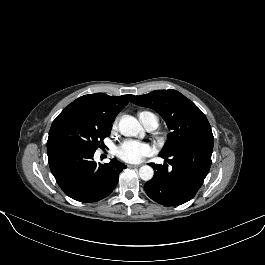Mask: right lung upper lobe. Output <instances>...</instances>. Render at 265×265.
Wrapping results in <instances>:
<instances>
[{
	"instance_id": "cb5924a9",
	"label": "right lung upper lobe",
	"mask_w": 265,
	"mask_h": 265,
	"mask_svg": "<svg viewBox=\"0 0 265 265\" xmlns=\"http://www.w3.org/2000/svg\"><path fill=\"white\" fill-rule=\"evenodd\" d=\"M132 97L133 95L111 97L103 93L84 95L69 104L55 120L75 116L102 125H112L117 114Z\"/></svg>"
}]
</instances>
